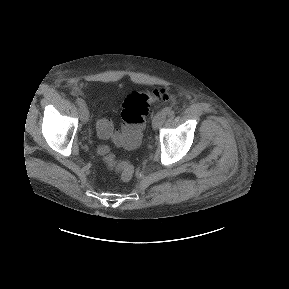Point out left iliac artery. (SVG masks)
Listing matches in <instances>:
<instances>
[{
	"instance_id": "left-iliac-artery-1",
	"label": "left iliac artery",
	"mask_w": 289,
	"mask_h": 289,
	"mask_svg": "<svg viewBox=\"0 0 289 289\" xmlns=\"http://www.w3.org/2000/svg\"><path fill=\"white\" fill-rule=\"evenodd\" d=\"M166 115H172L173 114V110L171 107H165L163 110H162Z\"/></svg>"
}]
</instances>
